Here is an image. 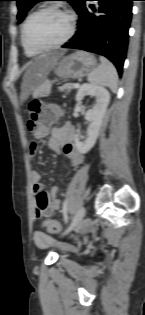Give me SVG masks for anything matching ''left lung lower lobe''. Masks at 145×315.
I'll use <instances>...</instances> for the list:
<instances>
[{"instance_id": "obj_1", "label": "left lung lower lobe", "mask_w": 145, "mask_h": 315, "mask_svg": "<svg viewBox=\"0 0 145 315\" xmlns=\"http://www.w3.org/2000/svg\"><path fill=\"white\" fill-rule=\"evenodd\" d=\"M85 1H96L85 6ZM134 0H79L75 35L63 48H76L107 57L122 74L126 58Z\"/></svg>"}]
</instances>
